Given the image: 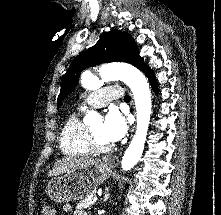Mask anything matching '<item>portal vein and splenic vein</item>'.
Instances as JSON below:
<instances>
[{"mask_svg":"<svg viewBox=\"0 0 221 215\" xmlns=\"http://www.w3.org/2000/svg\"><path fill=\"white\" fill-rule=\"evenodd\" d=\"M92 200H94V201H97L98 200V198L95 196V197H92L91 198Z\"/></svg>","mask_w":221,"mask_h":215,"instance_id":"portal-vein-and-splenic-vein-1","label":"portal vein and splenic vein"}]
</instances>
